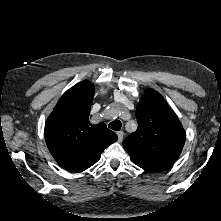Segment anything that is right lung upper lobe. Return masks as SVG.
Segmentation results:
<instances>
[{
    "mask_svg": "<svg viewBox=\"0 0 221 221\" xmlns=\"http://www.w3.org/2000/svg\"><path fill=\"white\" fill-rule=\"evenodd\" d=\"M94 93L91 82L76 84L61 97L46 121L48 149L64 169L73 171L96 163L104 149L118 139L105 123L89 122Z\"/></svg>",
    "mask_w": 221,
    "mask_h": 221,
    "instance_id": "obj_1",
    "label": "right lung upper lobe"
}]
</instances>
